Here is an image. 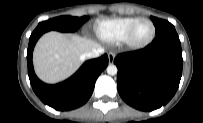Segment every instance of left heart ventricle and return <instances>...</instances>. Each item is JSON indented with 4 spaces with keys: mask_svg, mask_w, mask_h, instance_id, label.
<instances>
[{
    "mask_svg": "<svg viewBox=\"0 0 203 123\" xmlns=\"http://www.w3.org/2000/svg\"><path fill=\"white\" fill-rule=\"evenodd\" d=\"M152 25L149 22H143L142 24L139 25L137 28L134 39L137 42H143L147 40L151 35H152Z\"/></svg>",
    "mask_w": 203,
    "mask_h": 123,
    "instance_id": "b2bd125f",
    "label": "left heart ventricle"
}]
</instances>
